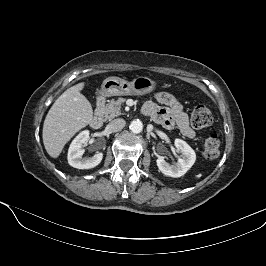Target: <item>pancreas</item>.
<instances>
[{
    "label": "pancreas",
    "mask_w": 266,
    "mask_h": 266,
    "mask_svg": "<svg viewBox=\"0 0 266 266\" xmlns=\"http://www.w3.org/2000/svg\"><path fill=\"white\" fill-rule=\"evenodd\" d=\"M126 101L125 98L119 97L117 100L112 99L108 101L107 104L100 106L99 110L104 115L106 119H112L114 117L120 116L121 105Z\"/></svg>",
    "instance_id": "obj_1"
}]
</instances>
